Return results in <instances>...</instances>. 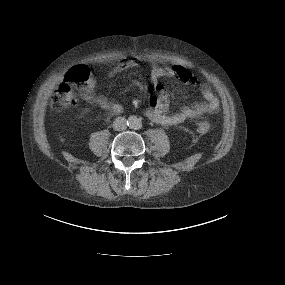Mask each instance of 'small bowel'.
<instances>
[{"label":"small bowel","mask_w":285,"mask_h":285,"mask_svg":"<svg viewBox=\"0 0 285 285\" xmlns=\"http://www.w3.org/2000/svg\"><path fill=\"white\" fill-rule=\"evenodd\" d=\"M151 76L154 82L155 92L151 96L150 106L146 110V116L153 122L165 126L178 125L188 119H195L206 114L214 113L219 109V100L213 94L211 88L207 85L199 87L204 102L196 103L192 106L185 107L182 110L169 114V99L167 93L160 87L158 79L167 73L173 72L181 80L196 85V82L191 73L182 66H175L172 68H164L153 63L152 60ZM134 64L133 61H123L113 67L114 73L120 72ZM181 67L183 72L177 74L175 68ZM96 83L94 80L81 88L80 96L83 100L96 103L101 109L109 111L114 114L122 112L123 107L120 103L109 100L105 96H95L94 89Z\"/></svg>","instance_id":"1"}]
</instances>
